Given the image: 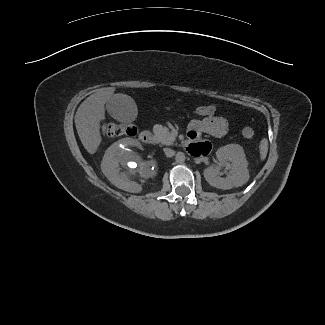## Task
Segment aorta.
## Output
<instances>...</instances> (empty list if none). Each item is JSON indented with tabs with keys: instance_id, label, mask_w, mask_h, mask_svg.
I'll return each mask as SVG.
<instances>
[{
	"instance_id": "1",
	"label": "aorta",
	"mask_w": 325,
	"mask_h": 325,
	"mask_svg": "<svg viewBox=\"0 0 325 325\" xmlns=\"http://www.w3.org/2000/svg\"><path fill=\"white\" fill-rule=\"evenodd\" d=\"M175 160L177 163H183L185 161V154L183 152H177Z\"/></svg>"
}]
</instances>
